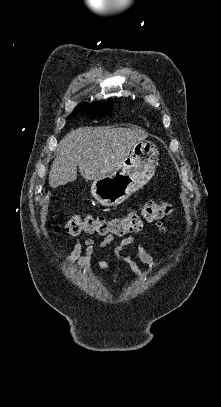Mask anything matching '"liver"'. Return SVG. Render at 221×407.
<instances>
[{
    "label": "liver",
    "mask_w": 221,
    "mask_h": 407,
    "mask_svg": "<svg viewBox=\"0 0 221 407\" xmlns=\"http://www.w3.org/2000/svg\"><path fill=\"white\" fill-rule=\"evenodd\" d=\"M148 134L140 129L80 127L67 134L59 143L56 158L49 172L52 188L77 179L86 180L111 173L128 152Z\"/></svg>",
    "instance_id": "1"
}]
</instances>
